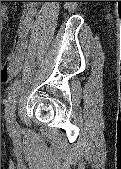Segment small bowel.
Here are the masks:
<instances>
[{"label":"small bowel","mask_w":121,"mask_h":169,"mask_svg":"<svg viewBox=\"0 0 121 169\" xmlns=\"http://www.w3.org/2000/svg\"><path fill=\"white\" fill-rule=\"evenodd\" d=\"M35 14L36 7L32 3H27L24 5L16 30L17 40L15 46L12 54L7 58L1 67L2 82H7L13 76L17 75L23 68V64L27 56L29 35L34 24ZM1 16L3 20L8 19L7 7L5 5L1 6Z\"/></svg>","instance_id":"c3829d8e"}]
</instances>
